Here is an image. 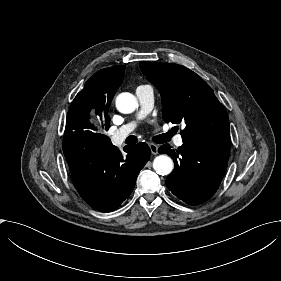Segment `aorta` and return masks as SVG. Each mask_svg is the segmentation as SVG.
Returning <instances> with one entry per match:
<instances>
[{"mask_svg": "<svg viewBox=\"0 0 281 281\" xmlns=\"http://www.w3.org/2000/svg\"><path fill=\"white\" fill-rule=\"evenodd\" d=\"M138 107L136 97L128 92L120 93L116 98V108L119 112L129 114ZM153 168L159 175H168L173 171V160L167 155H159L153 161Z\"/></svg>", "mask_w": 281, "mask_h": 281, "instance_id": "762f6f07", "label": "aorta"}]
</instances>
